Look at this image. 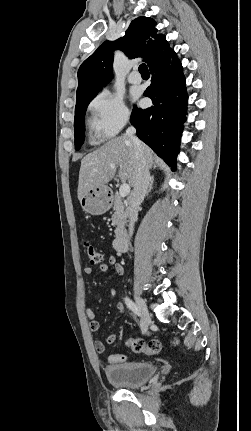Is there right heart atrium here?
Listing matches in <instances>:
<instances>
[{
	"label": "right heart atrium",
	"mask_w": 251,
	"mask_h": 431,
	"mask_svg": "<svg viewBox=\"0 0 251 431\" xmlns=\"http://www.w3.org/2000/svg\"><path fill=\"white\" fill-rule=\"evenodd\" d=\"M89 124L100 139L115 136L129 121L130 111L122 96L103 90L89 102Z\"/></svg>",
	"instance_id": "1"
}]
</instances>
